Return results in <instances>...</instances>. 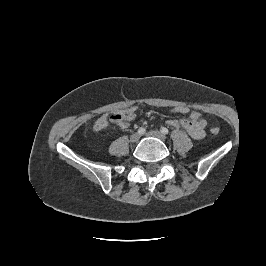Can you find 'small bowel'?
Segmentation results:
<instances>
[{
	"label": "small bowel",
	"instance_id": "small-bowel-1",
	"mask_svg": "<svg viewBox=\"0 0 266 266\" xmlns=\"http://www.w3.org/2000/svg\"><path fill=\"white\" fill-rule=\"evenodd\" d=\"M133 118L126 120L119 125L120 128L126 129L130 125V121ZM168 124L172 127H182L186 132L195 140H200L205 136V126L206 122L202 115L198 112H192L189 119H171ZM108 125V116H100L94 123L93 129L95 131H101L105 129Z\"/></svg>",
	"mask_w": 266,
	"mask_h": 266
}]
</instances>
